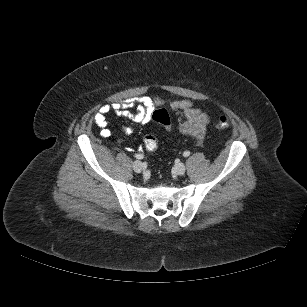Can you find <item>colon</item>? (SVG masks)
<instances>
[{
  "label": "colon",
  "instance_id": "5ec220e1",
  "mask_svg": "<svg viewBox=\"0 0 307 307\" xmlns=\"http://www.w3.org/2000/svg\"><path fill=\"white\" fill-rule=\"evenodd\" d=\"M152 119L163 125L166 128L171 127V116L166 109H159L153 112ZM230 124L227 116H220L216 121V127L218 129L227 128ZM143 146L147 151H154L158 147V139L152 134H147L143 137Z\"/></svg>",
  "mask_w": 307,
  "mask_h": 307
}]
</instances>
